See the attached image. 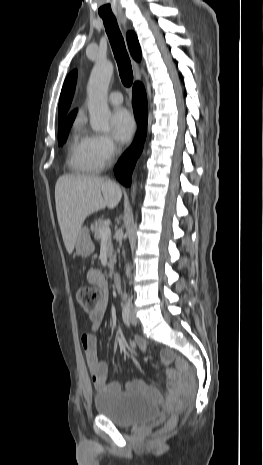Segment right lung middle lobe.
<instances>
[{
    "label": "right lung middle lobe",
    "instance_id": "1",
    "mask_svg": "<svg viewBox=\"0 0 263 465\" xmlns=\"http://www.w3.org/2000/svg\"><path fill=\"white\" fill-rule=\"evenodd\" d=\"M74 118H75V115L66 120L59 122V128H58L59 144H63L66 141L69 129L74 121Z\"/></svg>",
    "mask_w": 263,
    "mask_h": 465
}]
</instances>
